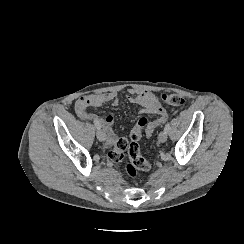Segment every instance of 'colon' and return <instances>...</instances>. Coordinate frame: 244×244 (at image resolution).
I'll return each instance as SVG.
<instances>
[{"label":"colon","mask_w":244,"mask_h":244,"mask_svg":"<svg viewBox=\"0 0 244 244\" xmlns=\"http://www.w3.org/2000/svg\"><path fill=\"white\" fill-rule=\"evenodd\" d=\"M161 100L167 105L176 107H183L186 104V99L182 95L171 92L162 93ZM148 123L149 119L142 116L130 131V141L125 137L118 138L108 153V161L117 164L123 161L127 152L129 161L125 164L124 170L132 179H135L140 171L150 168V163L142 156L140 147L143 130Z\"/></svg>","instance_id":"5ec220e1"}]
</instances>
